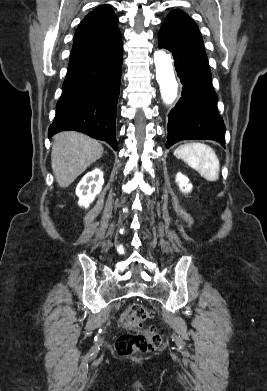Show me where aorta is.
I'll list each match as a JSON object with an SVG mask.
<instances>
[{
    "instance_id": "762f6f07",
    "label": "aorta",
    "mask_w": 267,
    "mask_h": 391,
    "mask_svg": "<svg viewBox=\"0 0 267 391\" xmlns=\"http://www.w3.org/2000/svg\"><path fill=\"white\" fill-rule=\"evenodd\" d=\"M154 64L156 79L160 86L162 100L165 104H172L177 98L178 83L172 66V58L163 50L155 51Z\"/></svg>"
}]
</instances>
